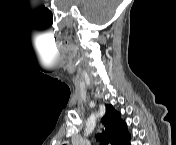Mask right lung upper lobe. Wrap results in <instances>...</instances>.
Segmentation results:
<instances>
[{
	"mask_svg": "<svg viewBox=\"0 0 176 145\" xmlns=\"http://www.w3.org/2000/svg\"><path fill=\"white\" fill-rule=\"evenodd\" d=\"M105 131L96 136L97 140L111 145H129L130 135L126 123L112 105H106V114L102 118Z\"/></svg>",
	"mask_w": 176,
	"mask_h": 145,
	"instance_id": "obj_1",
	"label": "right lung upper lobe"
}]
</instances>
